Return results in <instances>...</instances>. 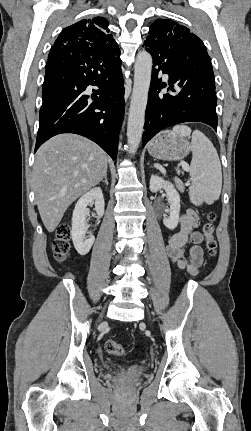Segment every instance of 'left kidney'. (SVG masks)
<instances>
[{
    "instance_id": "1",
    "label": "left kidney",
    "mask_w": 251,
    "mask_h": 431,
    "mask_svg": "<svg viewBox=\"0 0 251 431\" xmlns=\"http://www.w3.org/2000/svg\"><path fill=\"white\" fill-rule=\"evenodd\" d=\"M149 188L150 191L154 193L160 189L166 191L168 203L170 205V214L169 217L163 219V223L168 229H175L179 222L180 195L174 188V185L157 175H152Z\"/></svg>"
}]
</instances>
